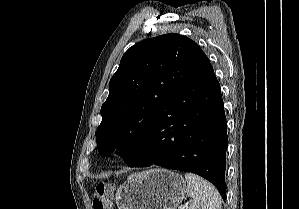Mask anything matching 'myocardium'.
<instances>
[{
  "mask_svg": "<svg viewBox=\"0 0 299 209\" xmlns=\"http://www.w3.org/2000/svg\"><path fill=\"white\" fill-rule=\"evenodd\" d=\"M125 147L121 144L114 145L110 148L108 157L112 162L120 161L125 154Z\"/></svg>",
  "mask_w": 299,
  "mask_h": 209,
  "instance_id": "1",
  "label": "myocardium"
}]
</instances>
